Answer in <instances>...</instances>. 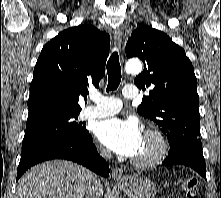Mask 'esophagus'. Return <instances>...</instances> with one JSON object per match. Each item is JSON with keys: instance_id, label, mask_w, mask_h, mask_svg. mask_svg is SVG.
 <instances>
[{"instance_id": "esophagus-1", "label": "esophagus", "mask_w": 221, "mask_h": 198, "mask_svg": "<svg viewBox=\"0 0 221 198\" xmlns=\"http://www.w3.org/2000/svg\"><path fill=\"white\" fill-rule=\"evenodd\" d=\"M122 36H123L122 31L120 29H116L114 31V40H115V43L118 47L119 52H121ZM112 178H113V180L118 181V182L123 181L124 177H123L122 169L117 168V167L114 168L112 171Z\"/></svg>"}]
</instances>
